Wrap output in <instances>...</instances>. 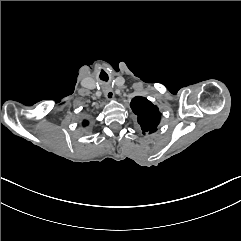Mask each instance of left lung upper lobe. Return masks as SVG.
Returning a JSON list of instances; mask_svg holds the SVG:
<instances>
[{
    "label": "left lung upper lobe",
    "mask_w": 241,
    "mask_h": 241,
    "mask_svg": "<svg viewBox=\"0 0 241 241\" xmlns=\"http://www.w3.org/2000/svg\"><path fill=\"white\" fill-rule=\"evenodd\" d=\"M131 109L138 116V123L140 124L143 134L153 133L157 130L160 122V112L158 107L153 105L148 99L137 96L131 101Z\"/></svg>",
    "instance_id": "left-lung-upper-lobe-1"
}]
</instances>
